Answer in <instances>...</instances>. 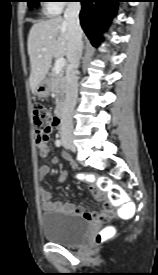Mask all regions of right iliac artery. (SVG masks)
Returning a JSON list of instances; mask_svg holds the SVG:
<instances>
[{
  "label": "right iliac artery",
  "instance_id": "right-iliac-artery-1",
  "mask_svg": "<svg viewBox=\"0 0 158 275\" xmlns=\"http://www.w3.org/2000/svg\"><path fill=\"white\" fill-rule=\"evenodd\" d=\"M55 144L57 147H60L62 145V142L61 140H56Z\"/></svg>",
  "mask_w": 158,
  "mask_h": 275
}]
</instances>
